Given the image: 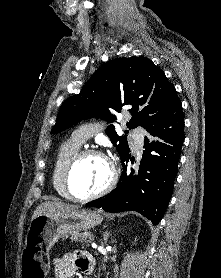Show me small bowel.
<instances>
[{
  "label": "small bowel",
  "mask_w": 221,
  "mask_h": 278,
  "mask_svg": "<svg viewBox=\"0 0 221 278\" xmlns=\"http://www.w3.org/2000/svg\"><path fill=\"white\" fill-rule=\"evenodd\" d=\"M93 267V259L83 252H70L59 258L54 265V278H71L77 270L88 272Z\"/></svg>",
  "instance_id": "1"
}]
</instances>
